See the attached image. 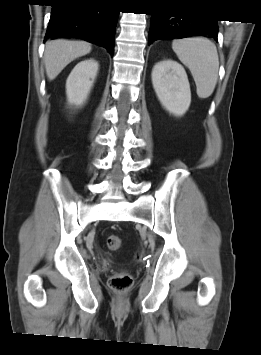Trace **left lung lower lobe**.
I'll use <instances>...</instances> for the list:
<instances>
[{"label": "left lung lower lobe", "mask_w": 261, "mask_h": 355, "mask_svg": "<svg viewBox=\"0 0 261 355\" xmlns=\"http://www.w3.org/2000/svg\"><path fill=\"white\" fill-rule=\"evenodd\" d=\"M206 36L217 41V21L208 18L152 15L149 44L160 38Z\"/></svg>", "instance_id": "left-lung-lower-lobe-1"}]
</instances>
